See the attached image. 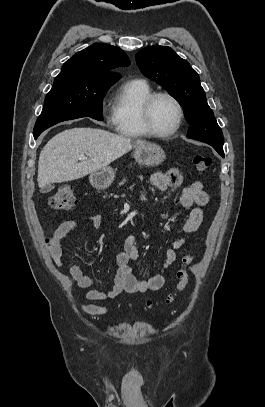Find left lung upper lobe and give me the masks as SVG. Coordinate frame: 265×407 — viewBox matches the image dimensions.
Instances as JSON below:
<instances>
[{
	"label": "left lung upper lobe",
	"instance_id": "1",
	"mask_svg": "<svg viewBox=\"0 0 265 407\" xmlns=\"http://www.w3.org/2000/svg\"><path fill=\"white\" fill-rule=\"evenodd\" d=\"M142 73L164 87L184 108L190 124L188 138L216 146L223 152V133L206 101L198 73L170 47L150 46L136 56Z\"/></svg>",
	"mask_w": 265,
	"mask_h": 407
}]
</instances>
